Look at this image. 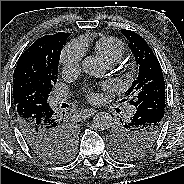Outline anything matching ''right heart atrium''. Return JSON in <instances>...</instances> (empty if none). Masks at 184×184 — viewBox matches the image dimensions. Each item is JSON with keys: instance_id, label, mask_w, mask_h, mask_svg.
Instances as JSON below:
<instances>
[{"instance_id": "d8ad5b80", "label": "right heart atrium", "mask_w": 184, "mask_h": 184, "mask_svg": "<svg viewBox=\"0 0 184 184\" xmlns=\"http://www.w3.org/2000/svg\"><path fill=\"white\" fill-rule=\"evenodd\" d=\"M85 54V46L80 40L67 44L61 53V63L69 70H77Z\"/></svg>"}]
</instances>
